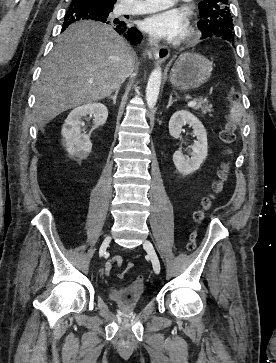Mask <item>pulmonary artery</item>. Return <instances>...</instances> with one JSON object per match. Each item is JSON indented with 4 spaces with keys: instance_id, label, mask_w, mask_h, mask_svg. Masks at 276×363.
<instances>
[{
    "instance_id": "pulmonary-artery-1",
    "label": "pulmonary artery",
    "mask_w": 276,
    "mask_h": 363,
    "mask_svg": "<svg viewBox=\"0 0 276 363\" xmlns=\"http://www.w3.org/2000/svg\"><path fill=\"white\" fill-rule=\"evenodd\" d=\"M126 3L132 0H125ZM177 0H145L137 5L135 8H124L123 11L131 14H145L159 11L172 6ZM189 1V0H183Z\"/></svg>"
}]
</instances>
